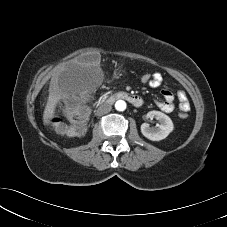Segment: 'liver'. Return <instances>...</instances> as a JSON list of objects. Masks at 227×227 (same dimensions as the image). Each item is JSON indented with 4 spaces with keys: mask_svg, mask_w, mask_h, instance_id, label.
Here are the masks:
<instances>
[{
    "mask_svg": "<svg viewBox=\"0 0 227 227\" xmlns=\"http://www.w3.org/2000/svg\"><path fill=\"white\" fill-rule=\"evenodd\" d=\"M92 68L77 61H70L59 66L50 81L49 96L43 112V124L50 125L55 116V108L60 100L76 94L82 80L89 75Z\"/></svg>",
    "mask_w": 227,
    "mask_h": 227,
    "instance_id": "obj_1",
    "label": "liver"
}]
</instances>
